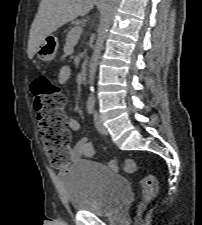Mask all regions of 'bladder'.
I'll return each instance as SVG.
<instances>
[{"label": "bladder", "mask_w": 202, "mask_h": 225, "mask_svg": "<svg viewBox=\"0 0 202 225\" xmlns=\"http://www.w3.org/2000/svg\"><path fill=\"white\" fill-rule=\"evenodd\" d=\"M69 207L97 216L113 215L131 192V183L106 165L82 159L61 178Z\"/></svg>", "instance_id": "1"}]
</instances>
